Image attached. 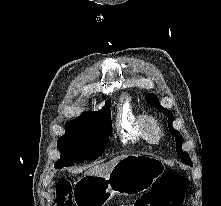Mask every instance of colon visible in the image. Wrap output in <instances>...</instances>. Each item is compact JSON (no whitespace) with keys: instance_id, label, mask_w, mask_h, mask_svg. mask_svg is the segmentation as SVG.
Listing matches in <instances>:
<instances>
[{"instance_id":"5ec220e1","label":"colon","mask_w":221,"mask_h":206,"mask_svg":"<svg viewBox=\"0 0 221 206\" xmlns=\"http://www.w3.org/2000/svg\"><path fill=\"white\" fill-rule=\"evenodd\" d=\"M188 186L186 178L173 172H166L154 183L151 191L137 199L133 206H179ZM54 202L55 206L74 205L72 186L69 181L57 182Z\"/></svg>"}]
</instances>
